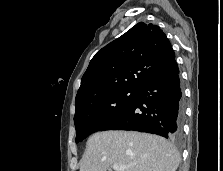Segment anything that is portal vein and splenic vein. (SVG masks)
<instances>
[{"mask_svg":"<svg viewBox=\"0 0 223 171\" xmlns=\"http://www.w3.org/2000/svg\"><path fill=\"white\" fill-rule=\"evenodd\" d=\"M112 168H113L114 171H125V167L124 166H121L119 164H114L112 166Z\"/></svg>","mask_w":223,"mask_h":171,"instance_id":"18ae733b","label":"portal vein and splenic vein"}]
</instances>
